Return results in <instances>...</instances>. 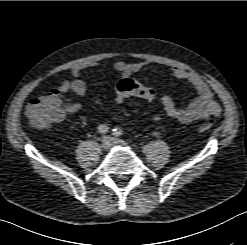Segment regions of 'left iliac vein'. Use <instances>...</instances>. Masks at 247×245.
Returning a JSON list of instances; mask_svg holds the SVG:
<instances>
[{"instance_id": "left-iliac-vein-1", "label": "left iliac vein", "mask_w": 247, "mask_h": 245, "mask_svg": "<svg viewBox=\"0 0 247 245\" xmlns=\"http://www.w3.org/2000/svg\"><path fill=\"white\" fill-rule=\"evenodd\" d=\"M111 139H112V143L114 145L121 146V147H127L128 146V144L125 141H123L119 138H111Z\"/></svg>"}]
</instances>
